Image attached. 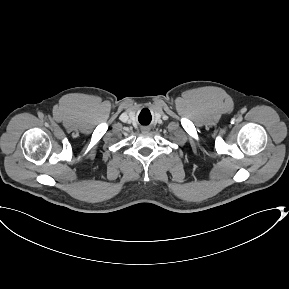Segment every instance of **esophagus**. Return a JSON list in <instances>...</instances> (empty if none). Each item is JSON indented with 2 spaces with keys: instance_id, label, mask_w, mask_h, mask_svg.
<instances>
[{
  "instance_id": "34e87169",
  "label": "esophagus",
  "mask_w": 289,
  "mask_h": 289,
  "mask_svg": "<svg viewBox=\"0 0 289 289\" xmlns=\"http://www.w3.org/2000/svg\"><path fill=\"white\" fill-rule=\"evenodd\" d=\"M143 132H148L149 131V129L147 128V127H142V129H141Z\"/></svg>"
}]
</instances>
